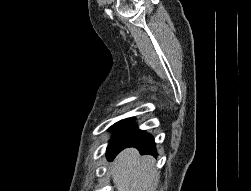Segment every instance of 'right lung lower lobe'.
Masks as SVG:
<instances>
[{
  "mask_svg": "<svg viewBox=\"0 0 251 191\" xmlns=\"http://www.w3.org/2000/svg\"><path fill=\"white\" fill-rule=\"evenodd\" d=\"M127 147H135L140 154H151L157 156L153 137L143 130L131 124L118 136L114 137L107 148V154L113 159L120 151Z\"/></svg>",
  "mask_w": 251,
  "mask_h": 191,
  "instance_id": "98d812e1",
  "label": "right lung lower lobe"
}]
</instances>
